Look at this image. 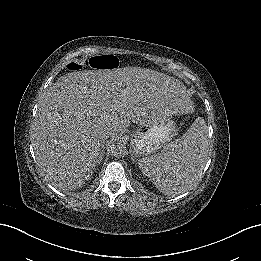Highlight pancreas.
Here are the masks:
<instances>
[{
    "label": "pancreas",
    "instance_id": "cf45deb5",
    "mask_svg": "<svg viewBox=\"0 0 261 261\" xmlns=\"http://www.w3.org/2000/svg\"><path fill=\"white\" fill-rule=\"evenodd\" d=\"M169 128L173 129V125L170 124V125H169Z\"/></svg>",
    "mask_w": 261,
    "mask_h": 261
}]
</instances>
